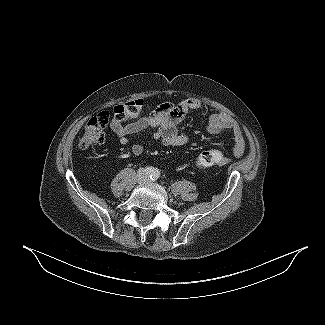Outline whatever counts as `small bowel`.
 <instances>
[{
    "instance_id": "obj_1",
    "label": "small bowel",
    "mask_w": 325,
    "mask_h": 325,
    "mask_svg": "<svg viewBox=\"0 0 325 325\" xmlns=\"http://www.w3.org/2000/svg\"><path fill=\"white\" fill-rule=\"evenodd\" d=\"M202 107V103L197 99H187L178 103L164 102L151 108L149 114L130 119L128 123L112 120L110 127L122 145L129 143L130 136L152 127L155 128L152 134L154 140L161 141L166 146H183L189 143L190 138L179 131L178 125L188 111L198 110ZM207 130L210 133L231 130L234 137L233 154L235 156L244 154L245 141L241 129L228 115L210 114L207 119ZM130 151L133 155L139 156L144 152V147L140 144H133Z\"/></svg>"
}]
</instances>
